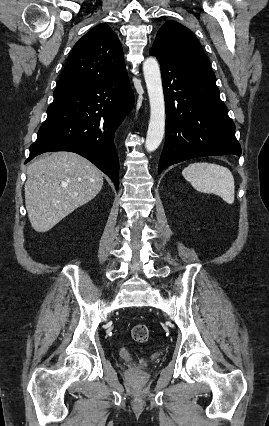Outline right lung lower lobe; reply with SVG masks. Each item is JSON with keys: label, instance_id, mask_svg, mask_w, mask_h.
Returning a JSON list of instances; mask_svg holds the SVG:
<instances>
[{"label": "right lung lower lobe", "instance_id": "right-lung-lower-lobe-1", "mask_svg": "<svg viewBox=\"0 0 269 426\" xmlns=\"http://www.w3.org/2000/svg\"><path fill=\"white\" fill-rule=\"evenodd\" d=\"M133 104L127 72L106 82L59 93L47 109V119L25 163L44 152H75L108 175L118 189L119 159L114 136Z\"/></svg>", "mask_w": 269, "mask_h": 426}]
</instances>
